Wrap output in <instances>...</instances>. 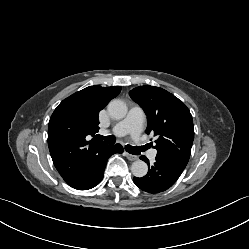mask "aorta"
<instances>
[{
	"label": "aorta",
	"mask_w": 249,
	"mask_h": 249,
	"mask_svg": "<svg viewBox=\"0 0 249 249\" xmlns=\"http://www.w3.org/2000/svg\"><path fill=\"white\" fill-rule=\"evenodd\" d=\"M108 113L113 119H123L127 114V106L119 99L112 100L108 104ZM131 172L135 177L142 178L147 174L148 166L144 161L137 160L132 163Z\"/></svg>",
	"instance_id": "aorta-1"
}]
</instances>
